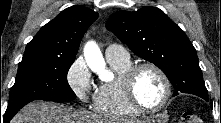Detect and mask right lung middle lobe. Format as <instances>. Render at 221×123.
Returning <instances> with one entry per match:
<instances>
[{
  "instance_id": "obj_1",
  "label": "right lung middle lobe",
  "mask_w": 221,
  "mask_h": 123,
  "mask_svg": "<svg viewBox=\"0 0 221 123\" xmlns=\"http://www.w3.org/2000/svg\"><path fill=\"white\" fill-rule=\"evenodd\" d=\"M75 57L27 55L19 63L5 115H15L34 100H73L67 73Z\"/></svg>"
}]
</instances>
